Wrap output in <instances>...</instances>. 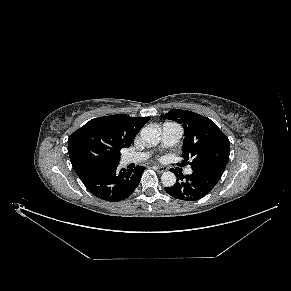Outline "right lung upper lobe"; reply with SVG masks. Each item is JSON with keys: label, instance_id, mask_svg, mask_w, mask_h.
Returning a JSON list of instances; mask_svg holds the SVG:
<instances>
[{"label": "right lung upper lobe", "instance_id": "cb5924a9", "mask_svg": "<svg viewBox=\"0 0 291 291\" xmlns=\"http://www.w3.org/2000/svg\"><path fill=\"white\" fill-rule=\"evenodd\" d=\"M149 117L117 114L95 118L76 130L68 139V153L73 168L97 160L105 154L109 163H118L120 150L129 147Z\"/></svg>", "mask_w": 291, "mask_h": 291}]
</instances>
